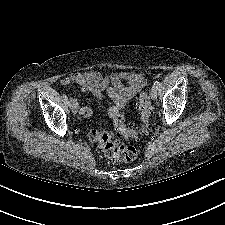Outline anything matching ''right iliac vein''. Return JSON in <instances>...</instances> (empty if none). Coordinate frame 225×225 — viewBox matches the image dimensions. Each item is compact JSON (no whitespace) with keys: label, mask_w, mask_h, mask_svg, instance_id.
I'll list each match as a JSON object with an SVG mask.
<instances>
[{"label":"right iliac vein","mask_w":225,"mask_h":225,"mask_svg":"<svg viewBox=\"0 0 225 225\" xmlns=\"http://www.w3.org/2000/svg\"><path fill=\"white\" fill-rule=\"evenodd\" d=\"M70 107H71L72 112L74 114H77L79 106L75 99L70 103Z\"/></svg>","instance_id":"obj_1"}]
</instances>
